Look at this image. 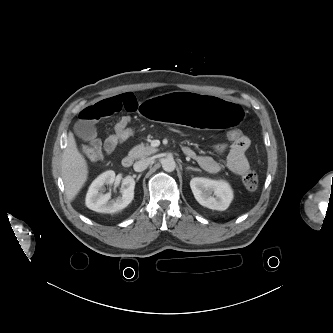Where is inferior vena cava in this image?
Here are the masks:
<instances>
[{
  "label": "inferior vena cava",
  "instance_id": "obj_1",
  "mask_svg": "<svg viewBox=\"0 0 333 333\" xmlns=\"http://www.w3.org/2000/svg\"><path fill=\"white\" fill-rule=\"evenodd\" d=\"M150 163H151L150 158L142 159V160L135 162L133 165V168L136 172H142L149 166Z\"/></svg>",
  "mask_w": 333,
  "mask_h": 333
}]
</instances>
